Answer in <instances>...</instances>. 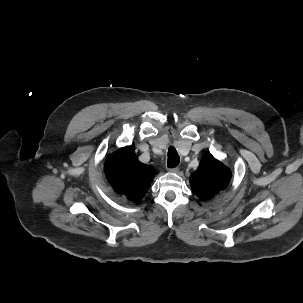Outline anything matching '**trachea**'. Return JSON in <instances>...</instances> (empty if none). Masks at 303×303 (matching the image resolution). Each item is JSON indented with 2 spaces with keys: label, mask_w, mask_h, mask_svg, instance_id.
Listing matches in <instances>:
<instances>
[{
  "label": "trachea",
  "mask_w": 303,
  "mask_h": 303,
  "mask_svg": "<svg viewBox=\"0 0 303 303\" xmlns=\"http://www.w3.org/2000/svg\"><path fill=\"white\" fill-rule=\"evenodd\" d=\"M180 158L179 155L174 147H170L168 150V160L167 166L169 168H174L179 164Z\"/></svg>",
  "instance_id": "1"
}]
</instances>
